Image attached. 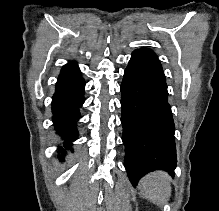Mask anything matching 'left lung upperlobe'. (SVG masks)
Returning a JSON list of instances; mask_svg holds the SVG:
<instances>
[{
	"label": "left lung upper lobe",
	"instance_id": "5c2ea615",
	"mask_svg": "<svg viewBox=\"0 0 219 211\" xmlns=\"http://www.w3.org/2000/svg\"><path fill=\"white\" fill-rule=\"evenodd\" d=\"M139 50H142V51H144V52H147V53H149V54H152V55L156 56V54H155L152 50H150V49L141 48V49H139Z\"/></svg>",
	"mask_w": 219,
	"mask_h": 211
}]
</instances>
